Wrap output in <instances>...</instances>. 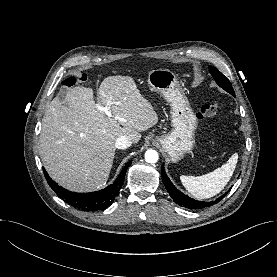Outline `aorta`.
I'll return each instance as SVG.
<instances>
[{
	"instance_id": "obj_1",
	"label": "aorta",
	"mask_w": 277,
	"mask_h": 277,
	"mask_svg": "<svg viewBox=\"0 0 277 277\" xmlns=\"http://www.w3.org/2000/svg\"><path fill=\"white\" fill-rule=\"evenodd\" d=\"M159 159V155L155 150H147L145 153V160L148 163H156Z\"/></svg>"
}]
</instances>
